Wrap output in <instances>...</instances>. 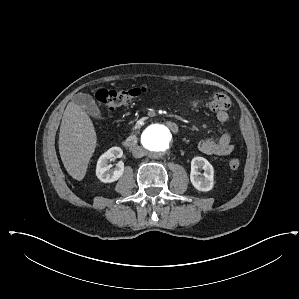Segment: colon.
Here are the masks:
<instances>
[{
    "label": "colon",
    "instance_id": "obj_1",
    "mask_svg": "<svg viewBox=\"0 0 299 299\" xmlns=\"http://www.w3.org/2000/svg\"><path fill=\"white\" fill-rule=\"evenodd\" d=\"M145 92L143 87H134L130 89H101L97 93L98 101L109 109L129 104L132 100ZM231 169L236 170L241 166L238 158H232L229 161Z\"/></svg>",
    "mask_w": 299,
    "mask_h": 299
}]
</instances>
